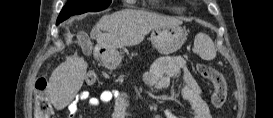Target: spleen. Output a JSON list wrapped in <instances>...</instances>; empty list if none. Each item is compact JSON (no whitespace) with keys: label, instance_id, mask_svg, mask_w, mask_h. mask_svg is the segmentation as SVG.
Returning <instances> with one entry per match:
<instances>
[{"label":"spleen","instance_id":"spleen-1","mask_svg":"<svg viewBox=\"0 0 273 118\" xmlns=\"http://www.w3.org/2000/svg\"><path fill=\"white\" fill-rule=\"evenodd\" d=\"M194 50L203 60H213L216 57V50L212 39L204 34L198 33L194 40Z\"/></svg>","mask_w":273,"mask_h":118}]
</instances>
